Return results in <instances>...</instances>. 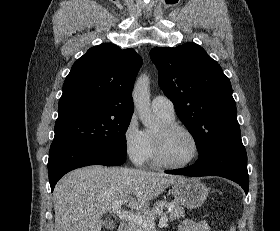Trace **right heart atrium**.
<instances>
[{
  "instance_id": "1",
  "label": "right heart atrium",
  "mask_w": 280,
  "mask_h": 231,
  "mask_svg": "<svg viewBox=\"0 0 280 231\" xmlns=\"http://www.w3.org/2000/svg\"><path fill=\"white\" fill-rule=\"evenodd\" d=\"M122 144L126 155L135 163L142 164L149 153L147 135L142 131L136 118L130 117L122 132Z\"/></svg>"
}]
</instances>
